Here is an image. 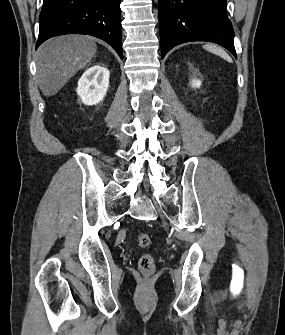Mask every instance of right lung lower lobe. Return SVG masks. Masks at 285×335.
I'll return each mask as SVG.
<instances>
[{"label": "right lung lower lobe", "instance_id": "98d812e1", "mask_svg": "<svg viewBox=\"0 0 285 335\" xmlns=\"http://www.w3.org/2000/svg\"><path fill=\"white\" fill-rule=\"evenodd\" d=\"M36 49L64 34H87L106 41L121 59V0H43Z\"/></svg>", "mask_w": 285, "mask_h": 335}]
</instances>
